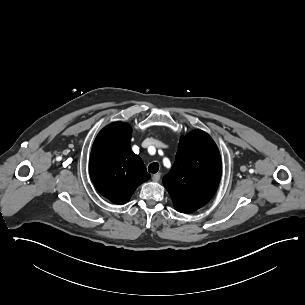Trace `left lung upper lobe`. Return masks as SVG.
<instances>
[{
	"label": "left lung upper lobe",
	"instance_id": "obj_1",
	"mask_svg": "<svg viewBox=\"0 0 305 305\" xmlns=\"http://www.w3.org/2000/svg\"><path fill=\"white\" fill-rule=\"evenodd\" d=\"M222 173L219 150L211 137L195 130L181 138L176 160L163 184L182 213L203 207L215 194Z\"/></svg>",
	"mask_w": 305,
	"mask_h": 305
}]
</instances>
